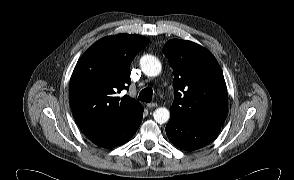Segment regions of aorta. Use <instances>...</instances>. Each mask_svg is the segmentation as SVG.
I'll use <instances>...</instances> for the list:
<instances>
[{
  "label": "aorta",
  "mask_w": 294,
  "mask_h": 180,
  "mask_svg": "<svg viewBox=\"0 0 294 180\" xmlns=\"http://www.w3.org/2000/svg\"><path fill=\"white\" fill-rule=\"evenodd\" d=\"M140 67L143 73L147 76H157L161 72V63L153 55H144L140 59ZM154 120L159 124L168 122L170 118V112L167 108L159 107L153 113Z\"/></svg>",
  "instance_id": "1"
}]
</instances>
